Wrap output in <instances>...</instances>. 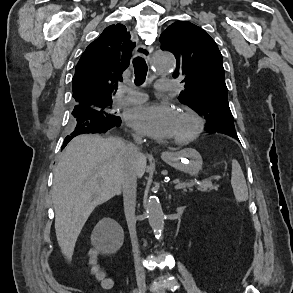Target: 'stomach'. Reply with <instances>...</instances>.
Returning <instances> with one entry per match:
<instances>
[{
  "label": "stomach",
  "instance_id": "stomach-1",
  "mask_svg": "<svg viewBox=\"0 0 293 293\" xmlns=\"http://www.w3.org/2000/svg\"><path fill=\"white\" fill-rule=\"evenodd\" d=\"M163 160L185 174L197 175L202 169L203 160L200 153L193 148H185L178 152L170 153Z\"/></svg>",
  "mask_w": 293,
  "mask_h": 293
}]
</instances>
